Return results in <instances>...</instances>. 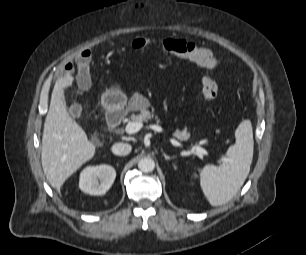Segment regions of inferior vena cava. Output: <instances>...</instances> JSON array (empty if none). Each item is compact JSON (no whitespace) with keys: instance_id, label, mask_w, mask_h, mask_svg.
Returning <instances> with one entry per match:
<instances>
[{"instance_id":"obj_1","label":"inferior vena cava","mask_w":306,"mask_h":255,"mask_svg":"<svg viewBox=\"0 0 306 255\" xmlns=\"http://www.w3.org/2000/svg\"><path fill=\"white\" fill-rule=\"evenodd\" d=\"M111 149L115 155L125 156L131 152L132 146L127 143H115Z\"/></svg>"}]
</instances>
